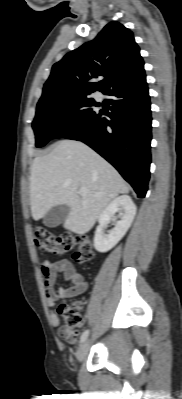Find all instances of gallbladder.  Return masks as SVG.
Segmentation results:
<instances>
[{
	"mask_svg": "<svg viewBox=\"0 0 182 399\" xmlns=\"http://www.w3.org/2000/svg\"><path fill=\"white\" fill-rule=\"evenodd\" d=\"M69 212L70 207L67 205L54 206L45 214L43 222L47 227H57L67 218Z\"/></svg>",
	"mask_w": 182,
	"mask_h": 399,
	"instance_id": "obj_1",
	"label": "gallbladder"
}]
</instances>
